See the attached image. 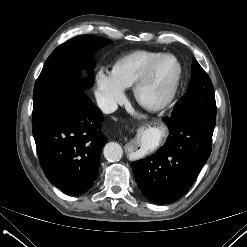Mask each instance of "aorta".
<instances>
[{"instance_id":"obj_1","label":"aorta","mask_w":247,"mask_h":247,"mask_svg":"<svg viewBox=\"0 0 247 247\" xmlns=\"http://www.w3.org/2000/svg\"><path fill=\"white\" fill-rule=\"evenodd\" d=\"M104 157L111 162L119 161L123 155V149L120 144L116 142H109L105 145Z\"/></svg>"}]
</instances>
